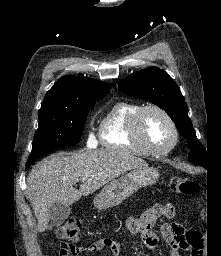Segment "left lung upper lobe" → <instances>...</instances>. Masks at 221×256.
I'll return each mask as SVG.
<instances>
[{"label": "left lung upper lobe", "instance_id": "5c2ea615", "mask_svg": "<svg viewBox=\"0 0 221 256\" xmlns=\"http://www.w3.org/2000/svg\"><path fill=\"white\" fill-rule=\"evenodd\" d=\"M118 86L124 93L148 100L165 110L180 134L188 140L187 147L191 151L188 154L189 161L206 166L207 152L193 130L185 98L165 71L158 67L146 68L131 74Z\"/></svg>", "mask_w": 221, "mask_h": 256}]
</instances>
